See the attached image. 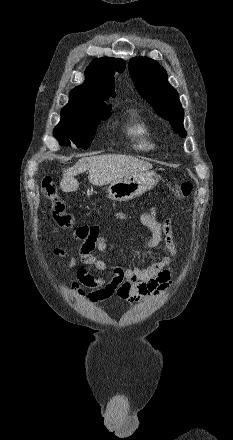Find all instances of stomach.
<instances>
[{"mask_svg": "<svg viewBox=\"0 0 233 440\" xmlns=\"http://www.w3.org/2000/svg\"><path fill=\"white\" fill-rule=\"evenodd\" d=\"M158 181V175L152 171L134 173L111 183L108 197L113 201H128L152 189Z\"/></svg>", "mask_w": 233, "mask_h": 440, "instance_id": "0dacf381", "label": "stomach"}]
</instances>
